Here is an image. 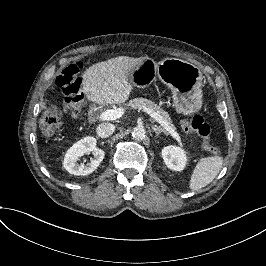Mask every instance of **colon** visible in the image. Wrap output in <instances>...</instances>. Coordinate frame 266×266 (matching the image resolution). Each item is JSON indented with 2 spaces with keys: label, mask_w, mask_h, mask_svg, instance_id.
<instances>
[{
  "label": "colon",
  "mask_w": 266,
  "mask_h": 266,
  "mask_svg": "<svg viewBox=\"0 0 266 266\" xmlns=\"http://www.w3.org/2000/svg\"><path fill=\"white\" fill-rule=\"evenodd\" d=\"M82 69V62L79 60L71 61L57 77V85L64 95V102L53 101L47 112L40 120V128L42 134L46 137L52 136L60 125L61 111L70 103L78 104L82 101L83 96L80 88L82 79L80 71ZM186 130L195 131L202 141L203 147L211 152L217 151V148L209 141L211 135V127L204 120L200 113H194L184 123Z\"/></svg>",
  "instance_id": "5ec220e1"
}]
</instances>
